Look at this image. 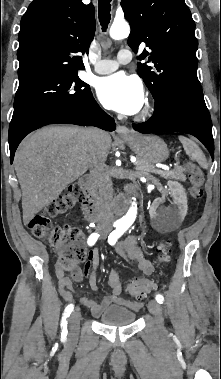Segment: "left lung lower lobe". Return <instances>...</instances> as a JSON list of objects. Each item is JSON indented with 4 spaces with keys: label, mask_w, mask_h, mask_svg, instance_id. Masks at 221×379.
Wrapping results in <instances>:
<instances>
[{
    "label": "left lung lower lobe",
    "mask_w": 221,
    "mask_h": 379,
    "mask_svg": "<svg viewBox=\"0 0 221 379\" xmlns=\"http://www.w3.org/2000/svg\"><path fill=\"white\" fill-rule=\"evenodd\" d=\"M132 126L140 133L175 131L191 134L214 157L212 122L205 101L177 95H161L155 101L153 116L147 122Z\"/></svg>",
    "instance_id": "obj_1"
}]
</instances>
